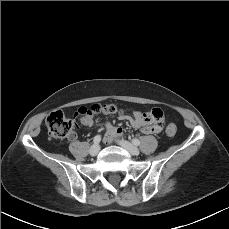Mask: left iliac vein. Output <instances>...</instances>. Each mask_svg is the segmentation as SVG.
Masks as SVG:
<instances>
[{
    "label": "left iliac vein",
    "instance_id": "1",
    "mask_svg": "<svg viewBox=\"0 0 229 229\" xmlns=\"http://www.w3.org/2000/svg\"><path fill=\"white\" fill-rule=\"evenodd\" d=\"M118 144L127 150L131 155H138L140 153L139 149L126 140H119Z\"/></svg>",
    "mask_w": 229,
    "mask_h": 229
}]
</instances>
